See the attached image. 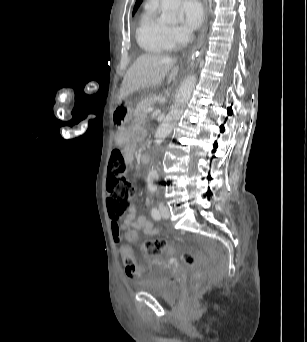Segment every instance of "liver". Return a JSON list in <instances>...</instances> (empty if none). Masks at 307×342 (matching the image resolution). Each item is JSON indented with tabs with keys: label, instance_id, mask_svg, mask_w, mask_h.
Returning <instances> with one entry per match:
<instances>
[{
	"label": "liver",
	"instance_id": "obj_1",
	"mask_svg": "<svg viewBox=\"0 0 307 342\" xmlns=\"http://www.w3.org/2000/svg\"><path fill=\"white\" fill-rule=\"evenodd\" d=\"M177 60L163 54H143L127 70L119 92V100H124L140 88L160 86L169 74L168 82L175 80L179 66Z\"/></svg>",
	"mask_w": 307,
	"mask_h": 342
}]
</instances>
